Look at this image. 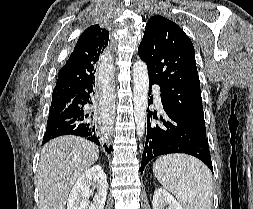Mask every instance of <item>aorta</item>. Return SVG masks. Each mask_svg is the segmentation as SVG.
<instances>
[{"mask_svg":"<svg viewBox=\"0 0 253 209\" xmlns=\"http://www.w3.org/2000/svg\"><path fill=\"white\" fill-rule=\"evenodd\" d=\"M134 80V120L136 133L141 139L145 132L149 78L147 66L143 61H137L133 65Z\"/></svg>","mask_w":253,"mask_h":209,"instance_id":"1","label":"aorta"}]
</instances>
